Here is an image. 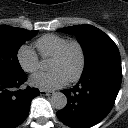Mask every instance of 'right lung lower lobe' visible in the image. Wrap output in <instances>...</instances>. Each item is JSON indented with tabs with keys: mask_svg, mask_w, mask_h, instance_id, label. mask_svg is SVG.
<instances>
[{
	"mask_svg": "<svg viewBox=\"0 0 128 128\" xmlns=\"http://www.w3.org/2000/svg\"><path fill=\"white\" fill-rule=\"evenodd\" d=\"M27 80L23 71L14 76L0 74V128H15L28 116L31 100L40 94L37 88L16 90Z\"/></svg>",
	"mask_w": 128,
	"mask_h": 128,
	"instance_id": "obj_1",
	"label": "right lung lower lobe"
}]
</instances>
